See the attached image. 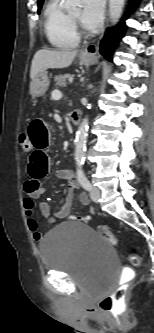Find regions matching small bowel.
<instances>
[{"label":"small bowel","mask_w":154,"mask_h":333,"mask_svg":"<svg viewBox=\"0 0 154 333\" xmlns=\"http://www.w3.org/2000/svg\"><path fill=\"white\" fill-rule=\"evenodd\" d=\"M27 135L32 151L28 158L29 179L24 185V192L27 195L24 200V208L32 237L35 241H40L42 234L38 230V223L35 218L34 201L39 200L45 192L42 180L49 171L48 149L51 142V133L44 120L34 119L29 124ZM55 176L67 181L68 193L61 208L55 212L51 210L47 202L39 203V210L49 223H54L56 219L67 218L70 215L73 193L79 188V184L70 170L58 169ZM78 199L83 205L89 204V199L84 193H81Z\"/></svg>","instance_id":"1"}]
</instances>
